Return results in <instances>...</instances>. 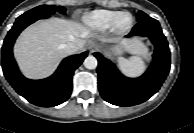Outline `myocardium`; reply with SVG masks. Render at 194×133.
<instances>
[{
  "label": "myocardium",
  "mask_w": 194,
  "mask_h": 133,
  "mask_svg": "<svg viewBox=\"0 0 194 133\" xmlns=\"http://www.w3.org/2000/svg\"><path fill=\"white\" fill-rule=\"evenodd\" d=\"M124 15L130 16V22L127 26L120 25V20H121L122 16H124ZM133 25H134V16L128 11H121L113 20L111 29L116 34L122 35V34H126L127 32H129L132 29Z\"/></svg>",
  "instance_id": "f54148a6"
}]
</instances>
